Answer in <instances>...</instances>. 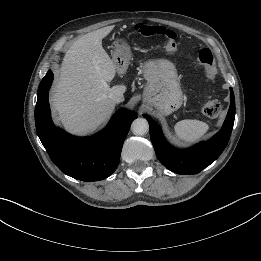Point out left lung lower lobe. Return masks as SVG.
Listing matches in <instances>:
<instances>
[{"label":"left lung lower lobe","mask_w":261,"mask_h":261,"mask_svg":"<svg viewBox=\"0 0 261 261\" xmlns=\"http://www.w3.org/2000/svg\"><path fill=\"white\" fill-rule=\"evenodd\" d=\"M230 108L221 130L210 140L180 150L168 144L158 124L148 115L143 116L150 126V137L161 163L177 174H196L214 162L225 149L234 124L235 99L230 88Z\"/></svg>","instance_id":"1"}]
</instances>
